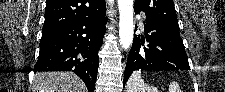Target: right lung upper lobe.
Instances as JSON below:
<instances>
[{"label": "right lung upper lobe", "mask_w": 225, "mask_h": 92, "mask_svg": "<svg viewBox=\"0 0 225 92\" xmlns=\"http://www.w3.org/2000/svg\"><path fill=\"white\" fill-rule=\"evenodd\" d=\"M106 9L104 0H47L43 31L57 32L86 18H94Z\"/></svg>", "instance_id": "1"}]
</instances>
